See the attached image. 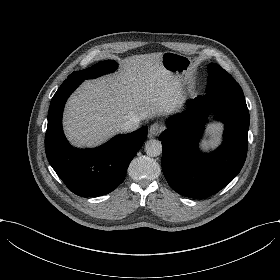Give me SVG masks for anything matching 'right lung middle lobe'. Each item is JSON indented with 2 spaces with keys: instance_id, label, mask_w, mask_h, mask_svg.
<instances>
[{
  "instance_id": "dd1d6c3e",
  "label": "right lung middle lobe",
  "mask_w": 280,
  "mask_h": 280,
  "mask_svg": "<svg viewBox=\"0 0 280 280\" xmlns=\"http://www.w3.org/2000/svg\"><path fill=\"white\" fill-rule=\"evenodd\" d=\"M118 64L114 60H106L95 64L81 71L73 72L69 77H80L83 79H92L98 76L113 72Z\"/></svg>"
}]
</instances>
